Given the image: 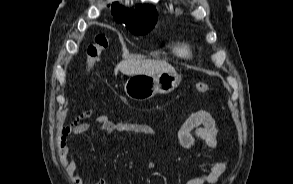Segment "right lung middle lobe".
<instances>
[{
	"instance_id": "dd1d6c3e",
	"label": "right lung middle lobe",
	"mask_w": 293,
	"mask_h": 184,
	"mask_svg": "<svg viewBox=\"0 0 293 184\" xmlns=\"http://www.w3.org/2000/svg\"><path fill=\"white\" fill-rule=\"evenodd\" d=\"M154 25L151 26H146V25H138V24H132L126 26L127 29L130 30L131 33L136 34V35H144L147 34Z\"/></svg>"
}]
</instances>
